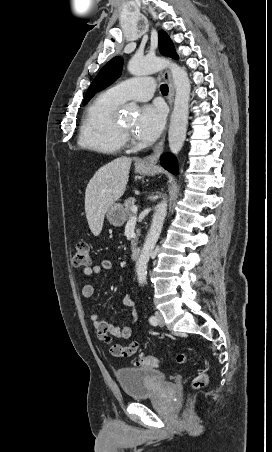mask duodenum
Returning a JSON list of instances; mask_svg holds the SVG:
<instances>
[{"instance_id": "duodenum-1", "label": "duodenum", "mask_w": 272, "mask_h": 452, "mask_svg": "<svg viewBox=\"0 0 272 452\" xmlns=\"http://www.w3.org/2000/svg\"><path fill=\"white\" fill-rule=\"evenodd\" d=\"M140 253H141L140 246H138V245L133 246L131 249V258L133 260H137L140 256Z\"/></svg>"}]
</instances>
